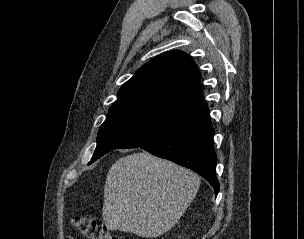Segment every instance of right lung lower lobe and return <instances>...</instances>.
Masks as SVG:
<instances>
[{
  "mask_svg": "<svg viewBox=\"0 0 304 239\" xmlns=\"http://www.w3.org/2000/svg\"><path fill=\"white\" fill-rule=\"evenodd\" d=\"M213 135L209 109L203 105L166 121L119 148H141L189 168L203 176L217 195L219 182L215 174L217 156Z\"/></svg>",
  "mask_w": 304,
  "mask_h": 239,
  "instance_id": "1",
  "label": "right lung lower lobe"
}]
</instances>
